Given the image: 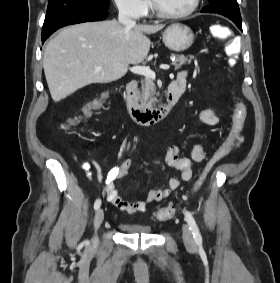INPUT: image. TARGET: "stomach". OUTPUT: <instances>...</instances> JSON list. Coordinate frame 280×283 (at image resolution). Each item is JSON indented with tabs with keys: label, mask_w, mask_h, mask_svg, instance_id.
Wrapping results in <instances>:
<instances>
[{
	"label": "stomach",
	"mask_w": 280,
	"mask_h": 283,
	"mask_svg": "<svg viewBox=\"0 0 280 283\" xmlns=\"http://www.w3.org/2000/svg\"><path fill=\"white\" fill-rule=\"evenodd\" d=\"M194 41L193 31L186 25L173 23L163 32V43L171 51L182 52Z\"/></svg>",
	"instance_id": "1"
}]
</instances>
